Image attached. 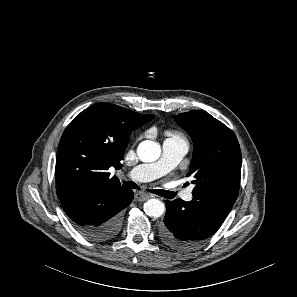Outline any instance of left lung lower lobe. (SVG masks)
Masks as SVG:
<instances>
[{
    "instance_id": "0a47b994",
    "label": "left lung lower lobe",
    "mask_w": 297,
    "mask_h": 297,
    "mask_svg": "<svg viewBox=\"0 0 297 297\" xmlns=\"http://www.w3.org/2000/svg\"><path fill=\"white\" fill-rule=\"evenodd\" d=\"M160 235L169 247L187 251L198 247L219 229L234 202L224 200H166Z\"/></svg>"
}]
</instances>
